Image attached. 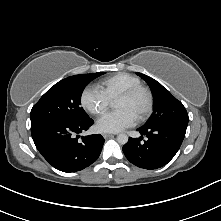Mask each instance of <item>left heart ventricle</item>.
Here are the masks:
<instances>
[{
	"mask_svg": "<svg viewBox=\"0 0 221 221\" xmlns=\"http://www.w3.org/2000/svg\"><path fill=\"white\" fill-rule=\"evenodd\" d=\"M147 105V96L140 92L128 99H117L115 102L116 109H126L130 111L135 118H137Z\"/></svg>",
	"mask_w": 221,
	"mask_h": 221,
	"instance_id": "left-heart-ventricle-1",
	"label": "left heart ventricle"
}]
</instances>
